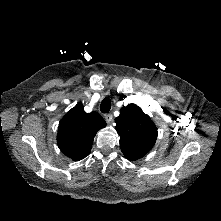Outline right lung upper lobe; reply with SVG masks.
Returning <instances> with one entry per match:
<instances>
[{
	"mask_svg": "<svg viewBox=\"0 0 221 221\" xmlns=\"http://www.w3.org/2000/svg\"><path fill=\"white\" fill-rule=\"evenodd\" d=\"M106 122L97 112L86 113L78 103L60 121L57 143L59 149L74 161L89 155L94 137Z\"/></svg>",
	"mask_w": 221,
	"mask_h": 221,
	"instance_id": "cb5924a9",
	"label": "right lung upper lobe"
}]
</instances>
